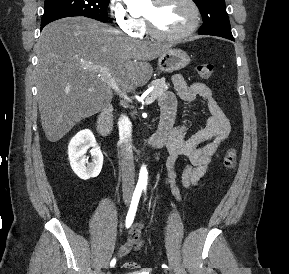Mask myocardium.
<instances>
[{
  "label": "myocardium",
  "instance_id": "obj_1",
  "mask_svg": "<svg viewBox=\"0 0 289 274\" xmlns=\"http://www.w3.org/2000/svg\"><path fill=\"white\" fill-rule=\"evenodd\" d=\"M167 1L169 0H153V3L158 6ZM185 2L188 3L191 7L193 14L192 22L187 29L177 34H166L157 29L152 19L147 16H143L148 33L154 38L164 41H181L191 36L199 26L201 20V12L195 0H185Z\"/></svg>",
  "mask_w": 289,
  "mask_h": 274
}]
</instances>
